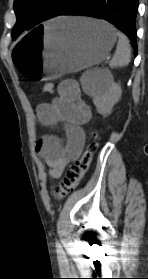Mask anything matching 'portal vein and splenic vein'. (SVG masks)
Returning <instances> with one entry per match:
<instances>
[{
    "mask_svg": "<svg viewBox=\"0 0 148 279\" xmlns=\"http://www.w3.org/2000/svg\"><path fill=\"white\" fill-rule=\"evenodd\" d=\"M111 57H112V55L109 54L108 57H107V59H106V61H105V63H107V62L111 59Z\"/></svg>",
    "mask_w": 148,
    "mask_h": 279,
    "instance_id": "1",
    "label": "portal vein and splenic vein"
}]
</instances>
